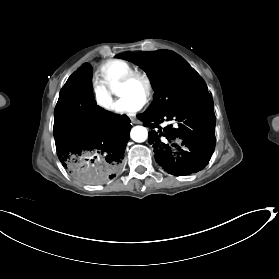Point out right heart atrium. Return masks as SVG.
Listing matches in <instances>:
<instances>
[{
    "mask_svg": "<svg viewBox=\"0 0 279 279\" xmlns=\"http://www.w3.org/2000/svg\"><path fill=\"white\" fill-rule=\"evenodd\" d=\"M93 92L95 104L101 111L110 113L114 110L115 100L105 86L96 81L93 85Z\"/></svg>",
    "mask_w": 279,
    "mask_h": 279,
    "instance_id": "right-heart-atrium-1",
    "label": "right heart atrium"
}]
</instances>
